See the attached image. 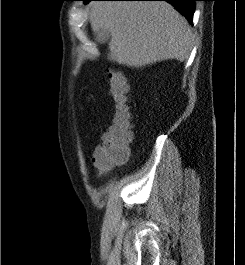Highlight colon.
Instances as JSON below:
<instances>
[{
	"label": "colon",
	"instance_id": "obj_1",
	"mask_svg": "<svg viewBox=\"0 0 245 265\" xmlns=\"http://www.w3.org/2000/svg\"><path fill=\"white\" fill-rule=\"evenodd\" d=\"M108 84V93L114 102L112 123L94 153L97 165L106 170L128 159L129 145L133 139L126 78L120 71L113 69L108 73Z\"/></svg>",
	"mask_w": 245,
	"mask_h": 265
}]
</instances>
